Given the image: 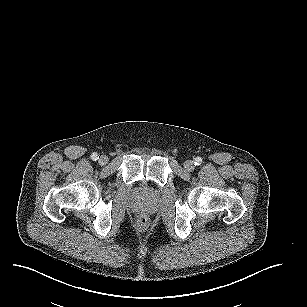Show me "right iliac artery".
<instances>
[{"label": "right iliac artery", "mask_w": 307, "mask_h": 307, "mask_svg": "<svg viewBox=\"0 0 307 307\" xmlns=\"http://www.w3.org/2000/svg\"><path fill=\"white\" fill-rule=\"evenodd\" d=\"M92 160L97 161L99 159V156L97 155V153H93L91 155Z\"/></svg>", "instance_id": "1"}]
</instances>
